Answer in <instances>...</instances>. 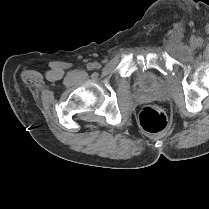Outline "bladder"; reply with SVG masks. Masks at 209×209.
<instances>
[{
    "label": "bladder",
    "mask_w": 209,
    "mask_h": 209,
    "mask_svg": "<svg viewBox=\"0 0 209 209\" xmlns=\"http://www.w3.org/2000/svg\"><path fill=\"white\" fill-rule=\"evenodd\" d=\"M156 85V78L149 72L144 73L139 79L140 89L148 96L155 94Z\"/></svg>",
    "instance_id": "bladder-1"
}]
</instances>
